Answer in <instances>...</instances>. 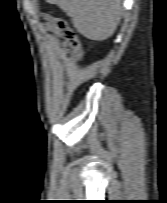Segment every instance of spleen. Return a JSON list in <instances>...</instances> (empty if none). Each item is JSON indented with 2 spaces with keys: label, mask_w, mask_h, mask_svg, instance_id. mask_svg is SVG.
Returning <instances> with one entry per match:
<instances>
[{
  "label": "spleen",
  "mask_w": 167,
  "mask_h": 203,
  "mask_svg": "<svg viewBox=\"0 0 167 203\" xmlns=\"http://www.w3.org/2000/svg\"><path fill=\"white\" fill-rule=\"evenodd\" d=\"M58 5L76 30L91 40H105L113 35L122 14L121 0H47Z\"/></svg>",
  "instance_id": "spleen-1"
}]
</instances>
